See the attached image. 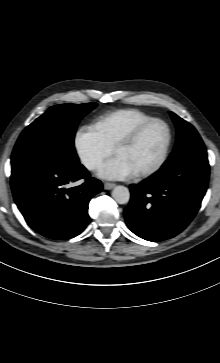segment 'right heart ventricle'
<instances>
[{
  "mask_svg": "<svg viewBox=\"0 0 220 363\" xmlns=\"http://www.w3.org/2000/svg\"><path fill=\"white\" fill-rule=\"evenodd\" d=\"M151 118L152 116L138 109H119L98 117L95 121V128L104 141L113 147L121 136Z\"/></svg>",
  "mask_w": 220,
  "mask_h": 363,
  "instance_id": "1",
  "label": "right heart ventricle"
}]
</instances>
